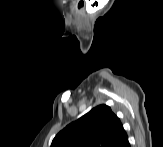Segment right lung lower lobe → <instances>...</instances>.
Returning a JSON list of instances; mask_svg holds the SVG:
<instances>
[{"mask_svg": "<svg viewBox=\"0 0 163 147\" xmlns=\"http://www.w3.org/2000/svg\"><path fill=\"white\" fill-rule=\"evenodd\" d=\"M113 147H130V144L128 142L127 134L124 135L119 141H117Z\"/></svg>", "mask_w": 163, "mask_h": 147, "instance_id": "obj_1", "label": "right lung lower lobe"}]
</instances>
